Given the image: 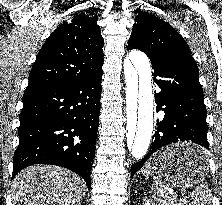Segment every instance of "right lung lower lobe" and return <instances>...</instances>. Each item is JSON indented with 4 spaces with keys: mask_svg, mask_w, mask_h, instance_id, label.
I'll return each instance as SVG.
<instances>
[{
    "mask_svg": "<svg viewBox=\"0 0 222 205\" xmlns=\"http://www.w3.org/2000/svg\"><path fill=\"white\" fill-rule=\"evenodd\" d=\"M102 74L25 91L12 178L27 166L52 164L77 173L90 189Z\"/></svg>",
    "mask_w": 222,
    "mask_h": 205,
    "instance_id": "obj_1",
    "label": "right lung lower lobe"
}]
</instances>
